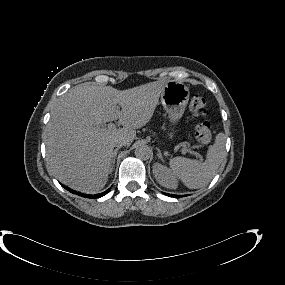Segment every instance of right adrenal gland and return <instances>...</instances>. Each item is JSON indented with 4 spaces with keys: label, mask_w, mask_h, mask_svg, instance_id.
I'll list each match as a JSON object with an SVG mask.
<instances>
[{
    "label": "right adrenal gland",
    "mask_w": 285,
    "mask_h": 285,
    "mask_svg": "<svg viewBox=\"0 0 285 285\" xmlns=\"http://www.w3.org/2000/svg\"><path fill=\"white\" fill-rule=\"evenodd\" d=\"M121 147H117L116 149H114L113 151V157H112V161H111V168H110V173L113 171L114 168V164H115V160H116V156H117V152Z\"/></svg>",
    "instance_id": "2a0ac1e0"
}]
</instances>
